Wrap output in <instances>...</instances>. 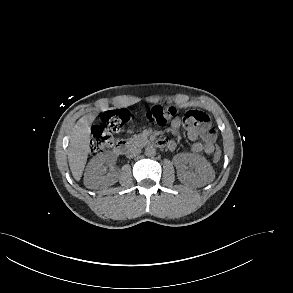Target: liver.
<instances>
[{
    "label": "liver",
    "instance_id": "1",
    "mask_svg": "<svg viewBox=\"0 0 293 293\" xmlns=\"http://www.w3.org/2000/svg\"><path fill=\"white\" fill-rule=\"evenodd\" d=\"M93 119L92 115L81 117L71 131L68 161L72 175L77 181L82 177L90 152V128Z\"/></svg>",
    "mask_w": 293,
    "mask_h": 293
}]
</instances>
